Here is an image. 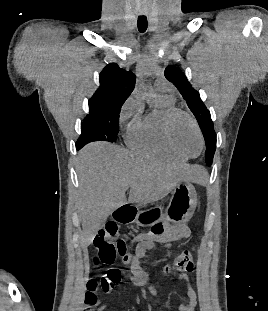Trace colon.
<instances>
[{
	"label": "colon",
	"instance_id": "5ec220e1",
	"mask_svg": "<svg viewBox=\"0 0 268 311\" xmlns=\"http://www.w3.org/2000/svg\"><path fill=\"white\" fill-rule=\"evenodd\" d=\"M118 234V227L115 223H109L101 230L94 239V245L97 250L94 257L95 264L110 265L113 264L118 256L127 262L130 259L127 253V247L124 240L115 241ZM194 254L192 250H184L173 262L166 267V271H191L194 267ZM124 278V273L118 268H112L106 272L98 283L95 280L88 282L85 294V308L83 311H94L97 303L96 291L99 285L102 290L109 292L114 290Z\"/></svg>",
	"mask_w": 268,
	"mask_h": 311
}]
</instances>
